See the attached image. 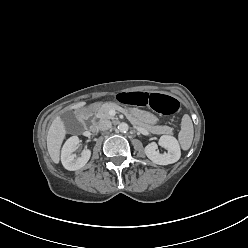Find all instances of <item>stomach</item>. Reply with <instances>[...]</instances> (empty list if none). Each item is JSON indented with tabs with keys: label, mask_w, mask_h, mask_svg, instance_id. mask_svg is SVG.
<instances>
[{
	"label": "stomach",
	"mask_w": 248,
	"mask_h": 248,
	"mask_svg": "<svg viewBox=\"0 0 248 248\" xmlns=\"http://www.w3.org/2000/svg\"><path fill=\"white\" fill-rule=\"evenodd\" d=\"M128 115L130 118H138L140 121L149 124H155L157 122V118L153 114L146 111H140V110L135 111L134 109H129Z\"/></svg>",
	"instance_id": "1"
}]
</instances>
